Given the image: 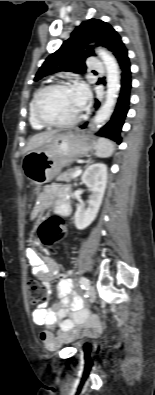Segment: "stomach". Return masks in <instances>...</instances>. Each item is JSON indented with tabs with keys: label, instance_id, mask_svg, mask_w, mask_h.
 I'll use <instances>...</instances> for the list:
<instances>
[{
	"label": "stomach",
	"instance_id": "0dacf381",
	"mask_svg": "<svg viewBox=\"0 0 155 395\" xmlns=\"http://www.w3.org/2000/svg\"><path fill=\"white\" fill-rule=\"evenodd\" d=\"M97 140L80 133H57L45 146L28 152L22 162L23 172L37 187L52 180L61 169L96 148Z\"/></svg>",
	"mask_w": 155,
	"mask_h": 395
}]
</instances>
